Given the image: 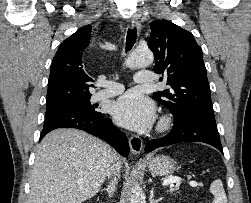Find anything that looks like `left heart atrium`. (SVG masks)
<instances>
[{
  "label": "left heart atrium",
  "instance_id": "obj_1",
  "mask_svg": "<svg viewBox=\"0 0 251 203\" xmlns=\"http://www.w3.org/2000/svg\"><path fill=\"white\" fill-rule=\"evenodd\" d=\"M117 122L133 130L149 127L155 115L153 103L139 91L132 90L121 96L114 104Z\"/></svg>",
  "mask_w": 251,
  "mask_h": 203
}]
</instances>
